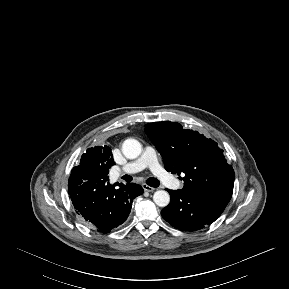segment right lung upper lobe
Returning <instances> with one entry per match:
<instances>
[{"label":"right lung upper lobe","mask_w":289,"mask_h":289,"mask_svg":"<svg viewBox=\"0 0 289 289\" xmlns=\"http://www.w3.org/2000/svg\"><path fill=\"white\" fill-rule=\"evenodd\" d=\"M114 164L110 147L95 146L87 149L81 157L80 165L74 168L108 179L109 168Z\"/></svg>","instance_id":"cb5924a9"}]
</instances>
